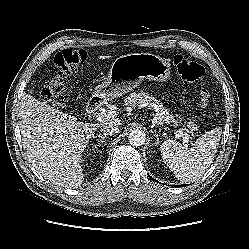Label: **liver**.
<instances>
[{
    "label": "liver",
    "instance_id": "6515ba94",
    "mask_svg": "<svg viewBox=\"0 0 249 249\" xmlns=\"http://www.w3.org/2000/svg\"><path fill=\"white\" fill-rule=\"evenodd\" d=\"M18 112L22 145L28 160L44 178L66 188L82 184V152L97 129L107 122L121 124L114 117L101 124L79 122L26 92L21 96Z\"/></svg>",
    "mask_w": 249,
    "mask_h": 249
}]
</instances>
